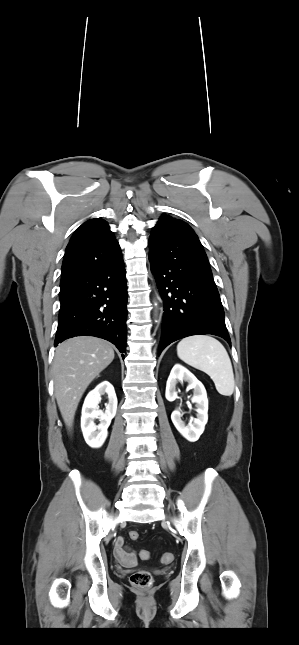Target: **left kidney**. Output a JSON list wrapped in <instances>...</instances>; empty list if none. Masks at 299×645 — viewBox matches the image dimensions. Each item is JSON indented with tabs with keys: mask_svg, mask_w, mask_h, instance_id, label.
I'll list each match as a JSON object with an SVG mask.
<instances>
[{
	"mask_svg": "<svg viewBox=\"0 0 299 645\" xmlns=\"http://www.w3.org/2000/svg\"><path fill=\"white\" fill-rule=\"evenodd\" d=\"M188 382V388L193 389L192 403H196V418L193 423L185 425L182 421V414L179 409L171 414V420L180 432V434L190 442H195L203 433L205 425L208 421V399L205 387L203 384L185 367L180 364L173 366L166 384L165 397L168 401H174L177 398L176 384L177 382Z\"/></svg>",
	"mask_w": 299,
	"mask_h": 645,
	"instance_id": "1",
	"label": "left kidney"
}]
</instances>
